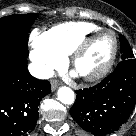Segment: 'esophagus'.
I'll use <instances>...</instances> for the list:
<instances>
[{
  "instance_id": "esophagus-1",
  "label": "esophagus",
  "mask_w": 136,
  "mask_h": 136,
  "mask_svg": "<svg viewBox=\"0 0 136 136\" xmlns=\"http://www.w3.org/2000/svg\"><path fill=\"white\" fill-rule=\"evenodd\" d=\"M59 86V83L56 80H51V89L55 91Z\"/></svg>"
}]
</instances>
